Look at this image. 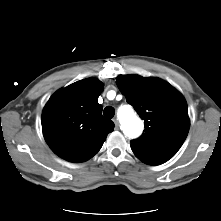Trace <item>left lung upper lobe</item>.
<instances>
[{"label":"left lung upper lobe","mask_w":221,"mask_h":221,"mask_svg":"<svg viewBox=\"0 0 221 221\" xmlns=\"http://www.w3.org/2000/svg\"><path fill=\"white\" fill-rule=\"evenodd\" d=\"M117 86L144 120V133L131 149L144 163L169 160L185 141L190 121L184 97L169 83L154 77L120 75Z\"/></svg>","instance_id":"obj_1"}]
</instances>
